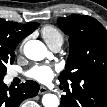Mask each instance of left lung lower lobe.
<instances>
[{"label": "left lung lower lobe", "mask_w": 107, "mask_h": 107, "mask_svg": "<svg viewBox=\"0 0 107 107\" xmlns=\"http://www.w3.org/2000/svg\"><path fill=\"white\" fill-rule=\"evenodd\" d=\"M66 95L61 97L59 107H72L76 101L71 90L64 89ZM78 107H107V84L84 85Z\"/></svg>", "instance_id": "obj_1"}]
</instances>
